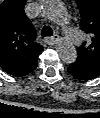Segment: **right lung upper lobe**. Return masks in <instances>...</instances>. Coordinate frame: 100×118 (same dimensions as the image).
<instances>
[{
    "label": "right lung upper lobe",
    "instance_id": "right-lung-upper-lobe-1",
    "mask_svg": "<svg viewBox=\"0 0 100 118\" xmlns=\"http://www.w3.org/2000/svg\"><path fill=\"white\" fill-rule=\"evenodd\" d=\"M26 0H5L0 4V67L8 74L26 76L36 68L43 47L24 14Z\"/></svg>",
    "mask_w": 100,
    "mask_h": 118
}]
</instances>
